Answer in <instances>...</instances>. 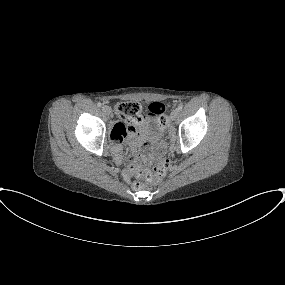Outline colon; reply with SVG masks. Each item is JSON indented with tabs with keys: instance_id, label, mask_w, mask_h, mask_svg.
I'll return each instance as SVG.
<instances>
[{
	"instance_id": "1",
	"label": "colon",
	"mask_w": 285,
	"mask_h": 285,
	"mask_svg": "<svg viewBox=\"0 0 285 285\" xmlns=\"http://www.w3.org/2000/svg\"><path fill=\"white\" fill-rule=\"evenodd\" d=\"M115 110L117 117L124 122L125 129L127 131L132 130L134 124L138 123L144 116L142 106L137 101L121 102L116 105ZM148 111L156 117L159 133H164L168 125V117L165 114V106L160 102H153L148 106ZM125 163L127 164V168L131 173L138 175V178H136L133 182L134 188L141 187V180H145L149 183L160 182L170 167L169 161L164 158L158 160L152 169L138 168L134 164L133 157H127L125 159Z\"/></svg>"
}]
</instances>
